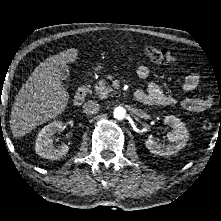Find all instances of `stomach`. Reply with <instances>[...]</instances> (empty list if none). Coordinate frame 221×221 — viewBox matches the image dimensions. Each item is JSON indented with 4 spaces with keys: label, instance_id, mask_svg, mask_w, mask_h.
Returning a JSON list of instances; mask_svg holds the SVG:
<instances>
[{
    "label": "stomach",
    "instance_id": "obj_1",
    "mask_svg": "<svg viewBox=\"0 0 221 221\" xmlns=\"http://www.w3.org/2000/svg\"><path fill=\"white\" fill-rule=\"evenodd\" d=\"M102 67L101 66H99L98 68H97V70H100Z\"/></svg>",
    "mask_w": 221,
    "mask_h": 221
}]
</instances>
